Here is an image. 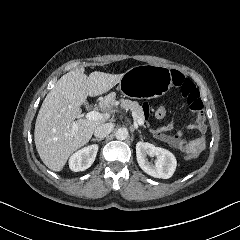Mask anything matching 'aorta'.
Instances as JSON below:
<instances>
[{"label": "aorta", "mask_w": 240, "mask_h": 240, "mask_svg": "<svg viewBox=\"0 0 240 240\" xmlns=\"http://www.w3.org/2000/svg\"><path fill=\"white\" fill-rule=\"evenodd\" d=\"M129 136V131L126 127H121L116 131V138L118 140H125Z\"/></svg>", "instance_id": "aorta-1"}]
</instances>
